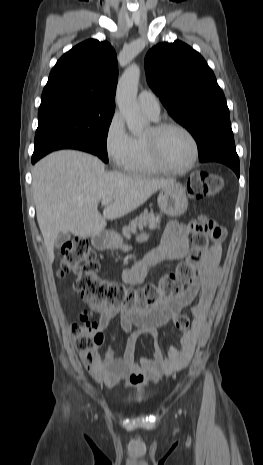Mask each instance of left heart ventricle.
<instances>
[{
	"mask_svg": "<svg viewBox=\"0 0 263 465\" xmlns=\"http://www.w3.org/2000/svg\"><path fill=\"white\" fill-rule=\"evenodd\" d=\"M149 133V130L145 135ZM163 160L173 167L186 166L193 156V145L188 136L178 129H168L160 137Z\"/></svg>",
	"mask_w": 263,
	"mask_h": 465,
	"instance_id": "b2bd125f",
	"label": "left heart ventricle"
}]
</instances>
